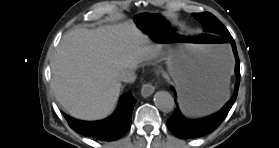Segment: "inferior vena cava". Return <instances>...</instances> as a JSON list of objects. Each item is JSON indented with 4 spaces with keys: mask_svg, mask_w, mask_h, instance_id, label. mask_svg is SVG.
I'll return each mask as SVG.
<instances>
[{
    "mask_svg": "<svg viewBox=\"0 0 279 148\" xmlns=\"http://www.w3.org/2000/svg\"><path fill=\"white\" fill-rule=\"evenodd\" d=\"M119 80L126 83H133L136 80V74L133 70H124L119 74Z\"/></svg>",
    "mask_w": 279,
    "mask_h": 148,
    "instance_id": "inferior-vena-cava-1",
    "label": "inferior vena cava"
}]
</instances>
